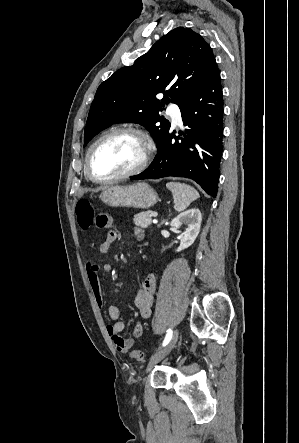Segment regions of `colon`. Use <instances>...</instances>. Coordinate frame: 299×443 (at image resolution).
Segmentation results:
<instances>
[{
    "label": "colon",
    "instance_id": "1",
    "mask_svg": "<svg viewBox=\"0 0 299 443\" xmlns=\"http://www.w3.org/2000/svg\"><path fill=\"white\" fill-rule=\"evenodd\" d=\"M76 214L78 218V224L81 229H89L94 225H97V217L92 204L86 199H80L76 205ZM130 356L136 361L143 362L145 360V354L141 350H131Z\"/></svg>",
    "mask_w": 299,
    "mask_h": 443
}]
</instances>
